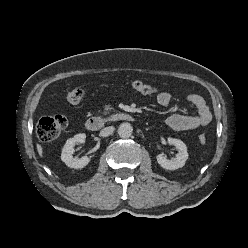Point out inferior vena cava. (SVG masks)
<instances>
[{
    "label": "inferior vena cava",
    "mask_w": 248,
    "mask_h": 248,
    "mask_svg": "<svg viewBox=\"0 0 248 248\" xmlns=\"http://www.w3.org/2000/svg\"><path fill=\"white\" fill-rule=\"evenodd\" d=\"M114 131V127L113 126H109V127H105L100 131V136L102 137H107L110 134H112Z\"/></svg>",
    "instance_id": "obj_1"
}]
</instances>
